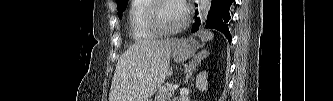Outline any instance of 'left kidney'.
Here are the masks:
<instances>
[{
  "label": "left kidney",
  "instance_id": "obj_1",
  "mask_svg": "<svg viewBox=\"0 0 333 101\" xmlns=\"http://www.w3.org/2000/svg\"><path fill=\"white\" fill-rule=\"evenodd\" d=\"M207 78L208 73L206 71L199 73L196 77V88H198L200 91H207Z\"/></svg>",
  "mask_w": 333,
  "mask_h": 101
}]
</instances>
